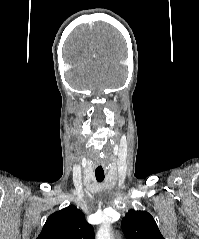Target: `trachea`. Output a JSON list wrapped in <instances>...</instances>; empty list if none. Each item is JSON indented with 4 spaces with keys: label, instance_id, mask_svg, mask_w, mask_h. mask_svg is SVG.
I'll return each instance as SVG.
<instances>
[{
    "label": "trachea",
    "instance_id": "3493384b",
    "mask_svg": "<svg viewBox=\"0 0 199 239\" xmlns=\"http://www.w3.org/2000/svg\"><path fill=\"white\" fill-rule=\"evenodd\" d=\"M95 176L98 182H102L105 178L103 173H95Z\"/></svg>",
    "mask_w": 199,
    "mask_h": 239
}]
</instances>
